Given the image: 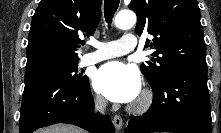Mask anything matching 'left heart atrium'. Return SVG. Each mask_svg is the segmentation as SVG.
<instances>
[{"mask_svg": "<svg viewBox=\"0 0 221 133\" xmlns=\"http://www.w3.org/2000/svg\"><path fill=\"white\" fill-rule=\"evenodd\" d=\"M93 86L98 93L111 101L128 103L140 95L141 79L134 67L112 61L97 69Z\"/></svg>", "mask_w": 221, "mask_h": 133, "instance_id": "left-heart-atrium-1", "label": "left heart atrium"}]
</instances>
